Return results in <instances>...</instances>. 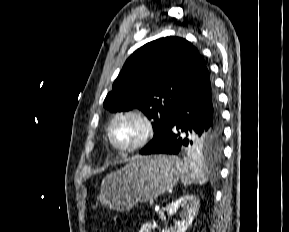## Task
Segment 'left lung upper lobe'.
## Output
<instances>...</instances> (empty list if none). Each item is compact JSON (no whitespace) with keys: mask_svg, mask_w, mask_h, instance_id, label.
Instances as JSON below:
<instances>
[{"mask_svg":"<svg viewBox=\"0 0 289 232\" xmlns=\"http://www.w3.org/2000/svg\"><path fill=\"white\" fill-rule=\"evenodd\" d=\"M205 66L198 50L183 38L151 41L126 60L104 107L111 112L138 108L153 119L154 137L148 146L165 132L182 94ZM221 136L220 125L216 136L196 139L187 151L220 153Z\"/></svg>","mask_w":289,"mask_h":232,"instance_id":"obj_1","label":"left lung upper lobe"}]
</instances>
